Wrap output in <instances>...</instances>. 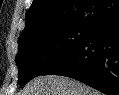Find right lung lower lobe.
<instances>
[{
    "label": "right lung lower lobe",
    "instance_id": "right-lung-lower-lobe-1",
    "mask_svg": "<svg viewBox=\"0 0 119 95\" xmlns=\"http://www.w3.org/2000/svg\"><path fill=\"white\" fill-rule=\"evenodd\" d=\"M63 75L119 95V19L93 29L41 75Z\"/></svg>",
    "mask_w": 119,
    "mask_h": 95
}]
</instances>
